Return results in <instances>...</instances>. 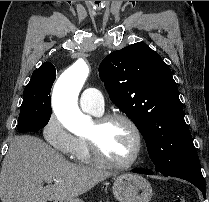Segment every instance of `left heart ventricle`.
Masks as SVG:
<instances>
[{"instance_id": "b2bd125f", "label": "left heart ventricle", "mask_w": 209, "mask_h": 202, "mask_svg": "<svg viewBox=\"0 0 209 202\" xmlns=\"http://www.w3.org/2000/svg\"><path fill=\"white\" fill-rule=\"evenodd\" d=\"M86 136H95L102 152L114 162L128 161L135 150L134 133L123 121H113L101 130L94 123Z\"/></svg>"}]
</instances>
